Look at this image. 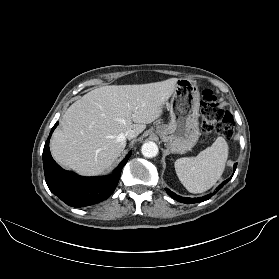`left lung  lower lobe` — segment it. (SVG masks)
Instances as JSON below:
<instances>
[{
    "mask_svg": "<svg viewBox=\"0 0 279 279\" xmlns=\"http://www.w3.org/2000/svg\"><path fill=\"white\" fill-rule=\"evenodd\" d=\"M237 164H234V171L236 169ZM231 178L227 179L226 181L222 182L217 188L216 190L213 192V194L210 195H206L204 197H200V198H186V197H181L177 194H175L174 192L170 191L169 189L166 188V192L169 196H171L173 199L182 202V203H186V204H191V203H198V202H203L205 200H208L212 195H214L219 189H221L224 184H226Z\"/></svg>",
    "mask_w": 279,
    "mask_h": 279,
    "instance_id": "0a47b994",
    "label": "left lung lower lobe"
}]
</instances>
